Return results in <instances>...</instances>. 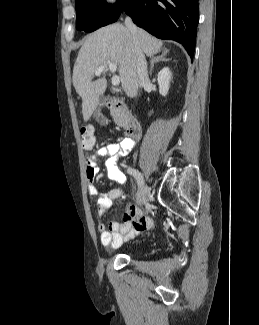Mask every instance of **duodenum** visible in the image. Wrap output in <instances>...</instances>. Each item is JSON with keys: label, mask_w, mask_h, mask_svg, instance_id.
<instances>
[{"label": "duodenum", "mask_w": 259, "mask_h": 325, "mask_svg": "<svg viewBox=\"0 0 259 325\" xmlns=\"http://www.w3.org/2000/svg\"><path fill=\"white\" fill-rule=\"evenodd\" d=\"M106 108H117L119 109L124 117L126 125V137L130 139H138L142 133V127L138 119L129 112L125 103L118 99L106 98L104 100Z\"/></svg>", "instance_id": "410a0bca"}]
</instances>
